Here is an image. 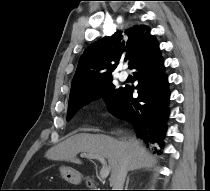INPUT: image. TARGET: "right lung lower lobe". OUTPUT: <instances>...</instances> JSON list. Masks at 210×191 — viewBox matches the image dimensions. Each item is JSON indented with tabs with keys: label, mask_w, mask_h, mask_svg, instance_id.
Wrapping results in <instances>:
<instances>
[{
	"label": "right lung lower lobe",
	"mask_w": 210,
	"mask_h": 191,
	"mask_svg": "<svg viewBox=\"0 0 210 191\" xmlns=\"http://www.w3.org/2000/svg\"><path fill=\"white\" fill-rule=\"evenodd\" d=\"M130 69L136 70L138 97L133 98L134 87L126 85L108 109L113 115L131 123L140 138L157 142L162 147L170 93L156 39L137 56Z\"/></svg>",
	"instance_id": "obj_1"
}]
</instances>
